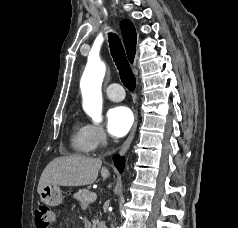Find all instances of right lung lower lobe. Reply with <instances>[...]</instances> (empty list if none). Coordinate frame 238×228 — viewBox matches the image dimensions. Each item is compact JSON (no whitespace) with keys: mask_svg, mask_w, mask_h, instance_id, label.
<instances>
[{"mask_svg":"<svg viewBox=\"0 0 238 228\" xmlns=\"http://www.w3.org/2000/svg\"><path fill=\"white\" fill-rule=\"evenodd\" d=\"M113 159H114L115 166L122 173L123 170H124L125 158L124 157H118L117 155H115L113 157Z\"/></svg>","mask_w":238,"mask_h":228,"instance_id":"obj_1","label":"right lung lower lobe"}]
</instances>
